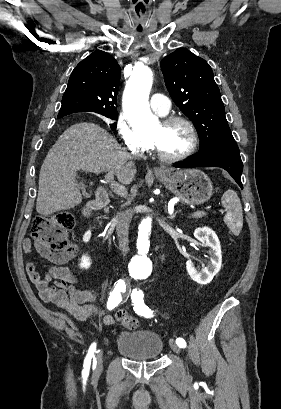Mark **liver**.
<instances>
[{"label":"liver","instance_id":"liver-1","mask_svg":"<svg viewBox=\"0 0 281 409\" xmlns=\"http://www.w3.org/2000/svg\"><path fill=\"white\" fill-rule=\"evenodd\" d=\"M119 148L116 138L95 122L69 126L50 148L40 168L37 213L48 217L80 205L77 170L94 174L113 170L119 182L130 184L137 172L135 162L129 152Z\"/></svg>","mask_w":281,"mask_h":409}]
</instances>
